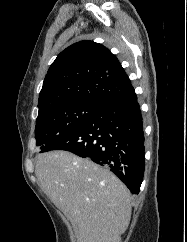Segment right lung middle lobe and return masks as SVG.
Returning a JSON list of instances; mask_svg holds the SVG:
<instances>
[{
	"instance_id": "right-lung-middle-lobe-1",
	"label": "right lung middle lobe",
	"mask_w": 187,
	"mask_h": 242,
	"mask_svg": "<svg viewBox=\"0 0 187 242\" xmlns=\"http://www.w3.org/2000/svg\"><path fill=\"white\" fill-rule=\"evenodd\" d=\"M102 106L74 102L63 104L40 113L35 126L36 145L45 149L94 116Z\"/></svg>"
}]
</instances>
